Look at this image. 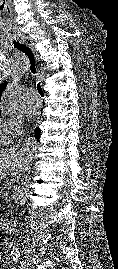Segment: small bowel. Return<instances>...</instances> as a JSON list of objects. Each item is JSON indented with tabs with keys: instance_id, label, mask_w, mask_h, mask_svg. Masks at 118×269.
Here are the masks:
<instances>
[{
	"instance_id": "1",
	"label": "small bowel",
	"mask_w": 118,
	"mask_h": 269,
	"mask_svg": "<svg viewBox=\"0 0 118 269\" xmlns=\"http://www.w3.org/2000/svg\"><path fill=\"white\" fill-rule=\"evenodd\" d=\"M1 265H2V267H6L7 262H6L4 259H2V260H1Z\"/></svg>"
}]
</instances>
